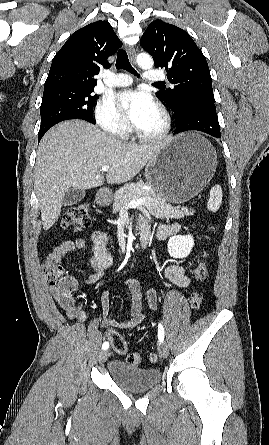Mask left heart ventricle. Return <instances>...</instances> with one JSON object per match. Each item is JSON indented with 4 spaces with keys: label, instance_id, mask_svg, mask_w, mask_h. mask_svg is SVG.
Returning <instances> with one entry per match:
<instances>
[{
    "label": "left heart ventricle",
    "instance_id": "obj_1",
    "mask_svg": "<svg viewBox=\"0 0 269 445\" xmlns=\"http://www.w3.org/2000/svg\"><path fill=\"white\" fill-rule=\"evenodd\" d=\"M163 121L160 113L156 109L145 120L136 125V127L143 133L152 134L160 130Z\"/></svg>",
    "mask_w": 269,
    "mask_h": 445
}]
</instances>
